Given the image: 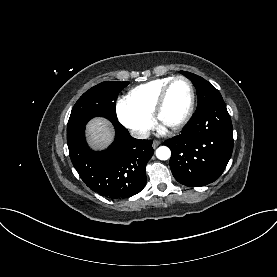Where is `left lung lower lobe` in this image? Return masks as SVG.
<instances>
[{"label":"left lung lower lobe","mask_w":277,"mask_h":277,"mask_svg":"<svg viewBox=\"0 0 277 277\" xmlns=\"http://www.w3.org/2000/svg\"><path fill=\"white\" fill-rule=\"evenodd\" d=\"M164 144L171 149L170 168L179 183L201 187L217 180L233 150V127L223 98L198 108L182 133Z\"/></svg>","instance_id":"left-lung-lower-lobe-1"}]
</instances>
